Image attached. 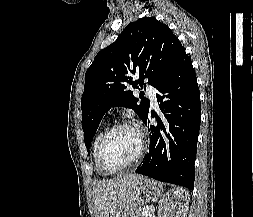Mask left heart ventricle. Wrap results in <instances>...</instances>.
Listing matches in <instances>:
<instances>
[{
    "label": "left heart ventricle",
    "mask_w": 253,
    "mask_h": 217,
    "mask_svg": "<svg viewBox=\"0 0 253 217\" xmlns=\"http://www.w3.org/2000/svg\"><path fill=\"white\" fill-rule=\"evenodd\" d=\"M139 148L140 138L134 129H118L106 140L102 150V161L111 169L121 167L136 156Z\"/></svg>",
    "instance_id": "left-heart-ventricle-1"
}]
</instances>
